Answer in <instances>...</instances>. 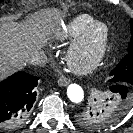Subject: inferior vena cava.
Here are the masks:
<instances>
[{"mask_svg":"<svg viewBox=\"0 0 133 133\" xmlns=\"http://www.w3.org/2000/svg\"><path fill=\"white\" fill-rule=\"evenodd\" d=\"M47 56L43 51H34L28 57V63L31 65L44 66L47 63Z\"/></svg>","mask_w":133,"mask_h":133,"instance_id":"obj_1","label":"inferior vena cava"}]
</instances>
